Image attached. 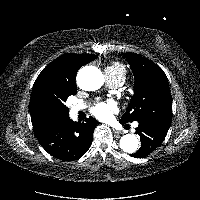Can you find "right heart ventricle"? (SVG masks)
I'll return each instance as SVG.
<instances>
[{
    "mask_svg": "<svg viewBox=\"0 0 200 200\" xmlns=\"http://www.w3.org/2000/svg\"><path fill=\"white\" fill-rule=\"evenodd\" d=\"M105 72L109 73L110 75L114 77H119L124 81L127 70H126V67L121 62L114 61L105 68Z\"/></svg>",
    "mask_w": 200,
    "mask_h": 200,
    "instance_id": "1",
    "label": "right heart ventricle"
}]
</instances>
